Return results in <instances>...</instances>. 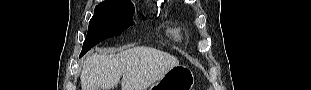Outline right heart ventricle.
Masks as SVG:
<instances>
[{
	"mask_svg": "<svg viewBox=\"0 0 311 90\" xmlns=\"http://www.w3.org/2000/svg\"><path fill=\"white\" fill-rule=\"evenodd\" d=\"M168 32L171 35V37H173L174 39H176V40L181 39L182 31H181V28L179 26H172L168 30Z\"/></svg>",
	"mask_w": 311,
	"mask_h": 90,
	"instance_id": "e07e8e85",
	"label": "right heart ventricle"
}]
</instances>
